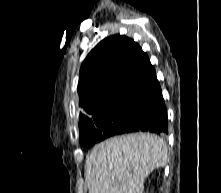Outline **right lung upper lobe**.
Here are the masks:
<instances>
[{"label": "right lung upper lobe", "mask_w": 221, "mask_h": 193, "mask_svg": "<svg viewBox=\"0 0 221 193\" xmlns=\"http://www.w3.org/2000/svg\"><path fill=\"white\" fill-rule=\"evenodd\" d=\"M158 87L154 67L140 46L126 36H110L81 66L77 90L84 111L79 120L118 100H150Z\"/></svg>", "instance_id": "cb5924a9"}]
</instances>
